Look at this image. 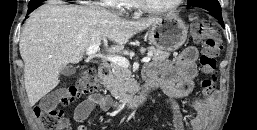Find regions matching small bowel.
<instances>
[{
    "label": "small bowel",
    "instance_id": "c3829d8e",
    "mask_svg": "<svg viewBox=\"0 0 257 130\" xmlns=\"http://www.w3.org/2000/svg\"><path fill=\"white\" fill-rule=\"evenodd\" d=\"M198 53L194 47H188L173 60H166L149 65L144 70L146 80H152L169 97L167 107L172 116L173 130H184L182 116L176 98L188 96L194 87V79L197 76L196 59ZM57 102L55 95L45 98L44 104L53 106ZM111 103L110 97L94 93L80 102L74 110L73 120L77 124L76 130H87L83 121L87 119L95 109L106 110ZM194 116L191 119L192 130H203L212 113V105L196 100L193 103ZM146 130H153L148 126Z\"/></svg>",
    "mask_w": 257,
    "mask_h": 130
}]
</instances>
